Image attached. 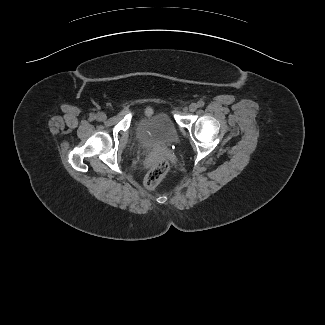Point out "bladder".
Returning a JSON list of instances; mask_svg holds the SVG:
<instances>
[{
    "label": "bladder",
    "mask_w": 325,
    "mask_h": 325,
    "mask_svg": "<svg viewBox=\"0 0 325 325\" xmlns=\"http://www.w3.org/2000/svg\"><path fill=\"white\" fill-rule=\"evenodd\" d=\"M137 133L140 138L160 145H171L179 139L177 126L166 112H156L144 117L138 124Z\"/></svg>",
    "instance_id": "obj_1"
}]
</instances>
